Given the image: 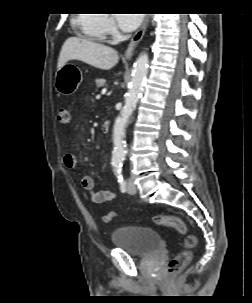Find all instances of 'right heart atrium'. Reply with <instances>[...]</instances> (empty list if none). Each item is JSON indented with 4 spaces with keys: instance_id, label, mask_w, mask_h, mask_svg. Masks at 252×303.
Here are the masks:
<instances>
[{
    "instance_id": "obj_1",
    "label": "right heart atrium",
    "mask_w": 252,
    "mask_h": 303,
    "mask_svg": "<svg viewBox=\"0 0 252 303\" xmlns=\"http://www.w3.org/2000/svg\"><path fill=\"white\" fill-rule=\"evenodd\" d=\"M100 27L106 35H113L116 31L112 18L107 14L102 16Z\"/></svg>"
}]
</instances>
